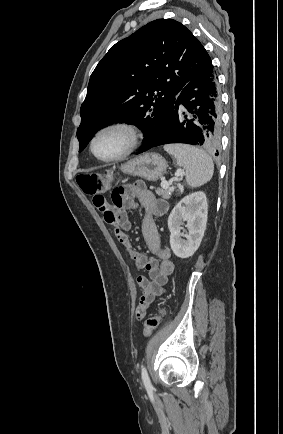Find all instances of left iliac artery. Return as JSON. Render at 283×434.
Segmentation results:
<instances>
[{
  "label": "left iliac artery",
  "mask_w": 283,
  "mask_h": 434,
  "mask_svg": "<svg viewBox=\"0 0 283 434\" xmlns=\"http://www.w3.org/2000/svg\"><path fill=\"white\" fill-rule=\"evenodd\" d=\"M141 375H142V380H143V383L145 385L146 390L148 392H151L153 390V386L151 384L148 372L144 366L142 367Z\"/></svg>",
  "instance_id": "44dca946"
}]
</instances>
